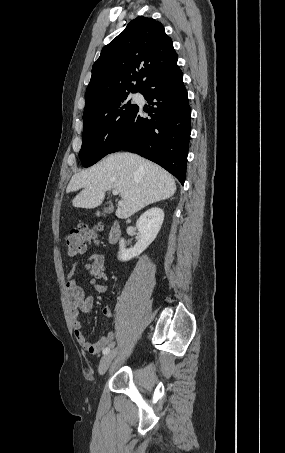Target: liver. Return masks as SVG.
Listing matches in <instances>:
<instances>
[{
    "label": "liver",
    "instance_id": "obj_1",
    "mask_svg": "<svg viewBox=\"0 0 285 453\" xmlns=\"http://www.w3.org/2000/svg\"><path fill=\"white\" fill-rule=\"evenodd\" d=\"M79 189L82 191L72 200V205L85 209L99 206L106 191L117 189L122 201L116 216L126 219L149 204L173 196L176 184L171 174L157 164L136 154L119 152L74 174L66 191Z\"/></svg>",
    "mask_w": 285,
    "mask_h": 453
}]
</instances>
